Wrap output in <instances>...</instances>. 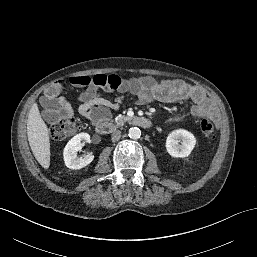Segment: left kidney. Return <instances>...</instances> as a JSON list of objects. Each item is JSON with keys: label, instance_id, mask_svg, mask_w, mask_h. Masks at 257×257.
<instances>
[{"label": "left kidney", "instance_id": "obj_1", "mask_svg": "<svg viewBox=\"0 0 257 257\" xmlns=\"http://www.w3.org/2000/svg\"><path fill=\"white\" fill-rule=\"evenodd\" d=\"M195 145L196 139L194 135L184 129L172 131L166 139V150L174 158L188 157Z\"/></svg>", "mask_w": 257, "mask_h": 257}]
</instances>
